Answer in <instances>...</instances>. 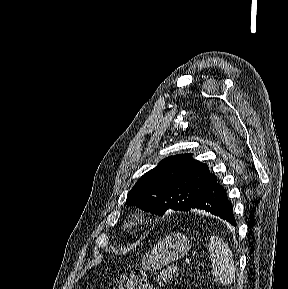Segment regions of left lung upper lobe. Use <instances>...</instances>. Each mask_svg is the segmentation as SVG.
Listing matches in <instances>:
<instances>
[{"mask_svg":"<svg viewBox=\"0 0 288 289\" xmlns=\"http://www.w3.org/2000/svg\"><path fill=\"white\" fill-rule=\"evenodd\" d=\"M217 182L208 165L181 154L163 159L146 172L128 193L126 203L152 214L188 211Z\"/></svg>","mask_w":288,"mask_h":289,"instance_id":"5c2ea615","label":"left lung upper lobe"}]
</instances>
